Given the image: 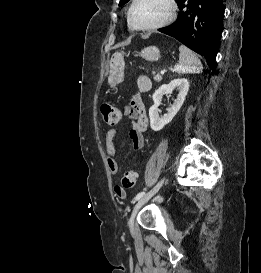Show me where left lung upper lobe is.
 Returning <instances> with one entry per match:
<instances>
[{
    "mask_svg": "<svg viewBox=\"0 0 261 273\" xmlns=\"http://www.w3.org/2000/svg\"><path fill=\"white\" fill-rule=\"evenodd\" d=\"M129 0H120V3H119V5H124L125 3H127ZM178 0H176V2H177Z\"/></svg>",
    "mask_w": 261,
    "mask_h": 273,
    "instance_id": "1",
    "label": "left lung upper lobe"
}]
</instances>
